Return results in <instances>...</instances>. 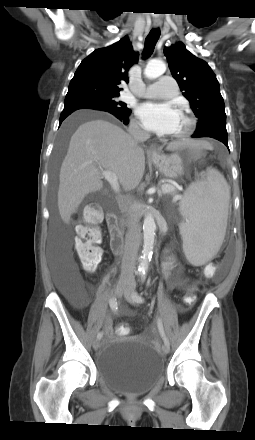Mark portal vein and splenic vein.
Returning <instances> with one entry per match:
<instances>
[{"instance_id":"portal-vein-and-splenic-vein-1","label":"portal vein and splenic vein","mask_w":255,"mask_h":440,"mask_svg":"<svg viewBox=\"0 0 255 440\" xmlns=\"http://www.w3.org/2000/svg\"><path fill=\"white\" fill-rule=\"evenodd\" d=\"M102 177H104L111 185L112 189L118 193L120 191V186L118 183V178L116 174L110 171H102ZM164 193H169L175 190V186L173 185H165L164 189H162ZM181 199V196H176L175 200Z\"/></svg>"}]
</instances>
